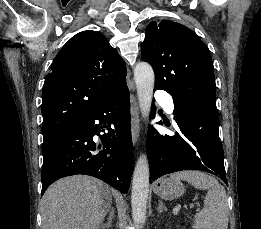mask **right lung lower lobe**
I'll use <instances>...</instances> for the list:
<instances>
[{"label":"right lung lower lobe","instance_id":"98d812e1","mask_svg":"<svg viewBox=\"0 0 261 229\" xmlns=\"http://www.w3.org/2000/svg\"><path fill=\"white\" fill-rule=\"evenodd\" d=\"M129 109V90L125 87L87 119L44 142L41 194L56 180L76 174L97 177L126 193L133 173ZM103 128L108 133L99 135ZM94 135L102 141L99 152L101 145L97 147Z\"/></svg>","mask_w":261,"mask_h":229}]
</instances>
